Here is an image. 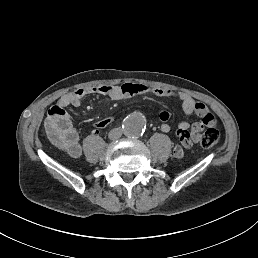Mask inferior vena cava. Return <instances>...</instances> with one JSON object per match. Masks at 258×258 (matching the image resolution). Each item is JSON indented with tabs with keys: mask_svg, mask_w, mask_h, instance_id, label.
<instances>
[{
	"mask_svg": "<svg viewBox=\"0 0 258 258\" xmlns=\"http://www.w3.org/2000/svg\"><path fill=\"white\" fill-rule=\"evenodd\" d=\"M122 133L123 130L121 128H113L108 134V137L110 140H119Z\"/></svg>",
	"mask_w": 258,
	"mask_h": 258,
	"instance_id": "obj_1",
	"label": "inferior vena cava"
}]
</instances>
